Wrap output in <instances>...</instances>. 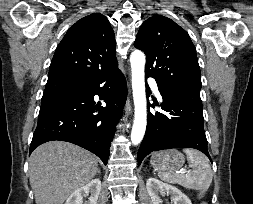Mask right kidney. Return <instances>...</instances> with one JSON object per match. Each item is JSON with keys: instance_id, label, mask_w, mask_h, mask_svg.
Listing matches in <instances>:
<instances>
[{"instance_id": "1", "label": "right kidney", "mask_w": 253, "mask_h": 204, "mask_svg": "<svg viewBox=\"0 0 253 204\" xmlns=\"http://www.w3.org/2000/svg\"><path fill=\"white\" fill-rule=\"evenodd\" d=\"M101 191L100 179H94L85 186L74 191L67 199L65 204H83V197H88V204H97Z\"/></svg>"}]
</instances>
